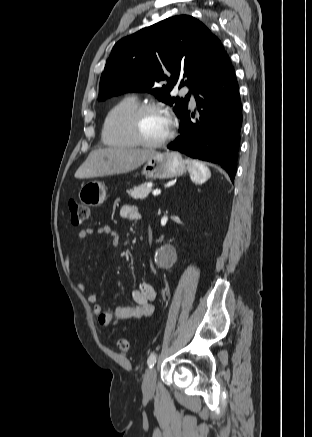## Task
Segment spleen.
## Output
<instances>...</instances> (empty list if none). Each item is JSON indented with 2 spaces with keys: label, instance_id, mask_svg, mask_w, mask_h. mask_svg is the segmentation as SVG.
<instances>
[{
  "label": "spleen",
  "instance_id": "3e777b00",
  "mask_svg": "<svg viewBox=\"0 0 312 437\" xmlns=\"http://www.w3.org/2000/svg\"><path fill=\"white\" fill-rule=\"evenodd\" d=\"M191 180L196 184L204 183L210 176L211 172L207 166L197 160H185Z\"/></svg>",
  "mask_w": 312,
  "mask_h": 437
}]
</instances>
